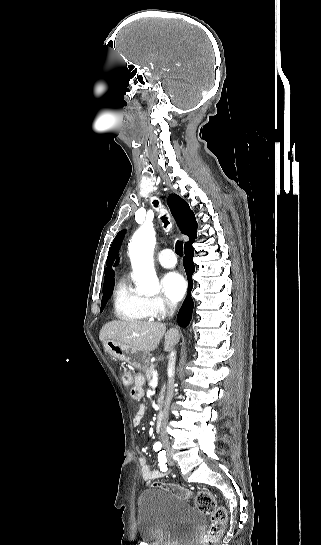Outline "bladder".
<instances>
[{"label": "bladder", "mask_w": 321, "mask_h": 545, "mask_svg": "<svg viewBox=\"0 0 321 545\" xmlns=\"http://www.w3.org/2000/svg\"><path fill=\"white\" fill-rule=\"evenodd\" d=\"M137 517L138 535L147 545H191L206 525L202 511L161 487L140 494Z\"/></svg>", "instance_id": "obj_1"}]
</instances>
